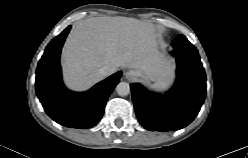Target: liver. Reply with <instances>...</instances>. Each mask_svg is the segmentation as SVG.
Masks as SVG:
<instances>
[{
	"mask_svg": "<svg viewBox=\"0 0 248 158\" xmlns=\"http://www.w3.org/2000/svg\"><path fill=\"white\" fill-rule=\"evenodd\" d=\"M66 84L83 91L102 80L99 69L135 68L158 81L171 74L158 50L155 27L128 17H93L77 22L62 51Z\"/></svg>",
	"mask_w": 248,
	"mask_h": 158,
	"instance_id": "obj_1",
	"label": "liver"
}]
</instances>
